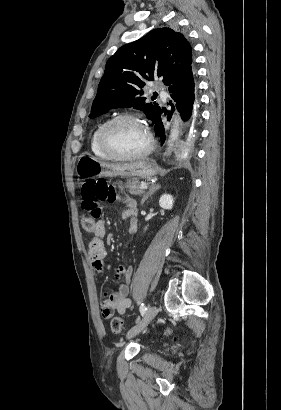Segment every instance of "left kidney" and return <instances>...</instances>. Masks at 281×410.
<instances>
[{
    "mask_svg": "<svg viewBox=\"0 0 281 410\" xmlns=\"http://www.w3.org/2000/svg\"><path fill=\"white\" fill-rule=\"evenodd\" d=\"M174 199L170 194H164L160 197L159 205L161 208L170 210L173 207Z\"/></svg>",
    "mask_w": 281,
    "mask_h": 410,
    "instance_id": "obj_1",
    "label": "left kidney"
}]
</instances>
